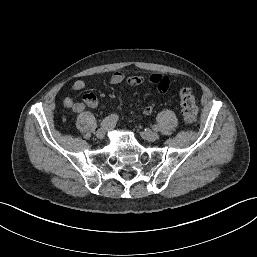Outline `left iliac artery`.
<instances>
[{"mask_svg": "<svg viewBox=\"0 0 257 257\" xmlns=\"http://www.w3.org/2000/svg\"><path fill=\"white\" fill-rule=\"evenodd\" d=\"M153 129H154V130H157V126H156V125H155V126H153Z\"/></svg>", "mask_w": 257, "mask_h": 257, "instance_id": "1", "label": "left iliac artery"}]
</instances>
